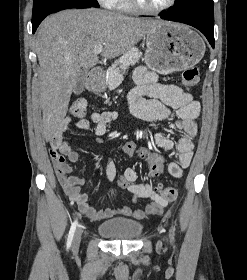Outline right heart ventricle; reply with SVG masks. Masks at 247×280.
Instances as JSON below:
<instances>
[{"instance_id":"right-heart-ventricle-1","label":"right heart ventricle","mask_w":247,"mask_h":280,"mask_svg":"<svg viewBox=\"0 0 247 280\" xmlns=\"http://www.w3.org/2000/svg\"><path fill=\"white\" fill-rule=\"evenodd\" d=\"M115 7L124 12H129L132 10V7L128 0H117Z\"/></svg>"}]
</instances>
